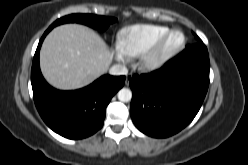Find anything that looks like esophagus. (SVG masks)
<instances>
[{
	"instance_id": "esophagus-1",
	"label": "esophagus",
	"mask_w": 248,
	"mask_h": 165,
	"mask_svg": "<svg viewBox=\"0 0 248 165\" xmlns=\"http://www.w3.org/2000/svg\"><path fill=\"white\" fill-rule=\"evenodd\" d=\"M132 79V74L129 73L126 75L125 85H129L130 80Z\"/></svg>"
}]
</instances>
